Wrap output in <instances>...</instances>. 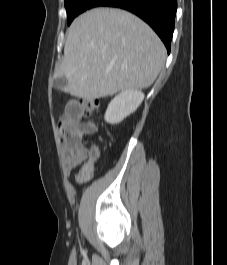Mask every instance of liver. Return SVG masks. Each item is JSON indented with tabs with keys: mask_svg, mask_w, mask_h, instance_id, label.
Wrapping results in <instances>:
<instances>
[{
	"mask_svg": "<svg viewBox=\"0 0 227 265\" xmlns=\"http://www.w3.org/2000/svg\"><path fill=\"white\" fill-rule=\"evenodd\" d=\"M165 60L162 41L145 22L127 11L97 8L70 25L54 78L65 76L63 92L90 100L151 86Z\"/></svg>",
	"mask_w": 227,
	"mask_h": 265,
	"instance_id": "1",
	"label": "liver"
}]
</instances>
